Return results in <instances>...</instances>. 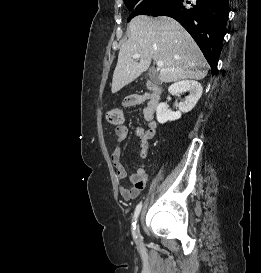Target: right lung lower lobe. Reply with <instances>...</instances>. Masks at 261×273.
Listing matches in <instances>:
<instances>
[{
  "label": "right lung lower lobe",
  "mask_w": 261,
  "mask_h": 273,
  "mask_svg": "<svg viewBox=\"0 0 261 273\" xmlns=\"http://www.w3.org/2000/svg\"><path fill=\"white\" fill-rule=\"evenodd\" d=\"M228 0H171L149 13L176 19L193 37L214 75L226 33Z\"/></svg>",
  "instance_id": "98d812e1"
}]
</instances>
